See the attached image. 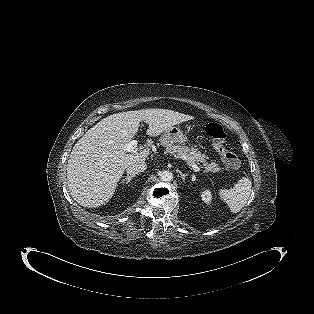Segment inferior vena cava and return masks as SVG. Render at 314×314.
<instances>
[{"mask_svg":"<svg viewBox=\"0 0 314 314\" xmlns=\"http://www.w3.org/2000/svg\"><path fill=\"white\" fill-rule=\"evenodd\" d=\"M146 163L144 161L133 162L129 164L126 168V172L128 175H136L138 173L143 172L146 169Z\"/></svg>","mask_w":314,"mask_h":314,"instance_id":"602c4592","label":"inferior vena cava"}]
</instances>
